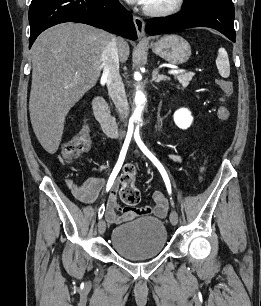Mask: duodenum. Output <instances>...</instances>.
<instances>
[{
  "label": "duodenum",
  "instance_id": "obj_1",
  "mask_svg": "<svg viewBox=\"0 0 261 306\" xmlns=\"http://www.w3.org/2000/svg\"><path fill=\"white\" fill-rule=\"evenodd\" d=\"M93 111L96 119L100 123L103 131L112 137L119 134L118 124L109 111L106 101L103 97H96L92 102Z\"/></svg>",
  "mask_w": 261,
  "mask_h": 306
}]
</instances>
